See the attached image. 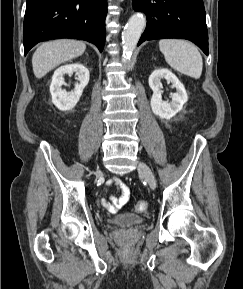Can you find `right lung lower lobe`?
<instances>
[{
  "mask_svg": "<svg viewBox=\"0 0 243 289\" xmlns=\"http://www.w3.org/2000/svg\"><path fill=\"white\" fill-rule=\"evenodd\" d=\"M107 0H27L24 18V53L38 42L76 38L105 44Z\"/></svg>",
  "mask_w": 243,
  "mask_h": 289,
  "instance_id": "1",
  "label": "right lung lower lobe"
}]
</instances>
